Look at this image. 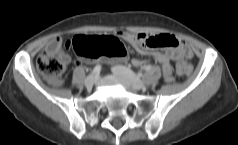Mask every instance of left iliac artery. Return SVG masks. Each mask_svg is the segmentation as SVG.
<instances>
[{
    "instance_id": "left-iliac-artery-1",
    "label": "left iliac artery",
    "mask_w": 238,
    "mask_h": 145,
    "mask_svg": "<svg viewBox=\"0 0 238 145\" xmlns=\"http://www.w3.org/2000/svg\"><path fill=\"white\" fill-rule=\"evenodd\" d=\"M151 67H152L151 65H147V66L144 67V70H145V71H148V70L151 69Z\"/></svg>"
}]
</instances>
